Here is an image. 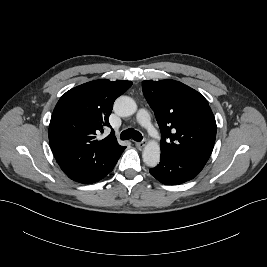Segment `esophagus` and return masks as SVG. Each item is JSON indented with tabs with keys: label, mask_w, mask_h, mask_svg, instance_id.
I'll return each instance as SVG.
<instances>
[{
	"label": "esophagus",
	"mask_w": 267,
	"mask_h": 267,
	"mask_svg": "<svg viewBox=\"0 0 267 267\" xmlns=\"http://www.w3.org/2000/svg\"><path fill=\"white\" fill-rule=\"evenodd\" d=\"M135 144H136L137 148H139V149H141V148H143L145 146V143L143 141L136 142Z\"/></svg>",
	"instance_id": "esophagus-1"
}]
</instances>
